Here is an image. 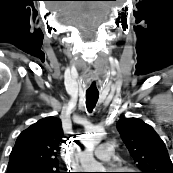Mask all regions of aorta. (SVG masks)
Here are the masks:
<instances>
[{"label":"aorta","mask_w":173,"mask_h":173,"mask_svg":"<svg viewBox=\"0 0 173 173\" xmlns=\"http://www.w3.org/2000/svg\"><path fill=\"white\" fill-rule=\"evenodd\" d=\"M103 133L101 129H94L91 133L86 134L84 138L85 145L91 148L100 143ZM78 158L84 172H104L103 166L98 163L91 150L82 151L78 153Z\"/></svg>","instance_id":"obj_1"}]
</instances>
